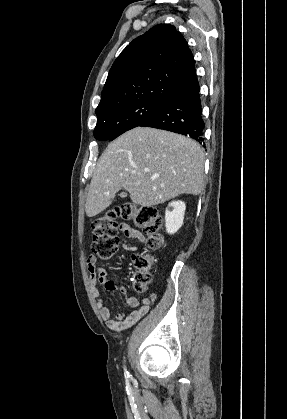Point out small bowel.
<instances>
[{
	"mask_svg": "<svg viewBox=\"0 0 287 419\" xmlns=\"http://www.w3.org/2000/svg\"><path fill=\"white\" fill-rule=\"evenodd\" d=\"M121 231L124 235L139 242H144L145 237L135 229L131 228L127 224L120 226ZM124 249L130 252L137 251V247L124 244ZM88 270L90 272V280L92 283V294L97 299V308L103 320L106 321L107 326L116 331L125 330L134 325L138 320L141 319L149 310L150 306L154 301V296H146L142 299L135 297H126V305L132 307L133 310L129 313H120L115 317L111 316L109 308L105 305L104 301L100 298V290L98 284H102L108 291H120L123 295H126L125 288L117 284L116 282L107 278V271L103 267L96 266V259L89 257L87 260Z\"/></svg>",
	"mask_w": 287,
	"mask_h": 419,
	"instance_id": "small-bowel-1",
	"label": "small bowel"
}]
</instances>
